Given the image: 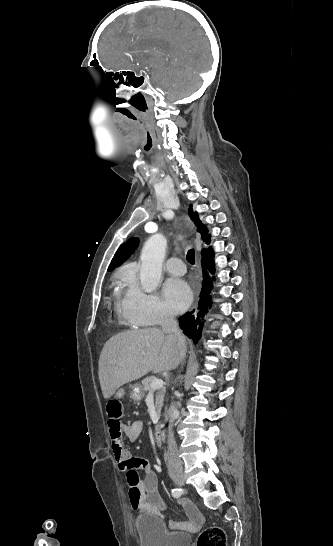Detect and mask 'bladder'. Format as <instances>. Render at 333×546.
<instances>
[{
    "mask_svg": "<svg viewBox=\"0 0 333 546\" xmlns=\"http://www.w3.org/2000/svg\"><path fill=\"white\" fill-rule=\"evenodd\" d=\"M135 530L140 546H190L187 533L170 532L156 516L142 515L135 520Z\"/></svg>",
    "mask_w": 333,
    "mask_h": 546,
    "instance_id": "1",
    "label": "bladder"
}]
</instances>
